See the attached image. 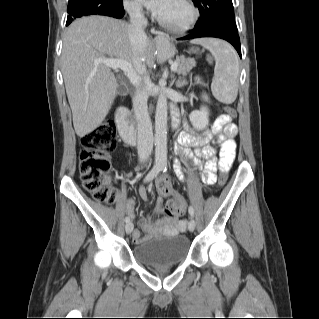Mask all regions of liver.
I'll list each match as a JSON object with an SVG mask.
<instances>
[{"label": "liver", "mask_w": 319, "mask_h": 319, "mask_svg": "<svg viewBox=\"0 0 319 319\" xmlns=\"http://www.w3.org/2000/svg\"><path fill=\"white\" fill-rule=\"evenodd\" d=\"M129 25L110 17L93 15L74 21L66 30L62 49V73L76 134L83 137L105 119L118 89L109 67L95 60L110 58L133 63ZM147 38L145 55L153 53ZM158 57L162 56L158 50Z\"/></svg>", "instance_id": "1"}]
</instances>
